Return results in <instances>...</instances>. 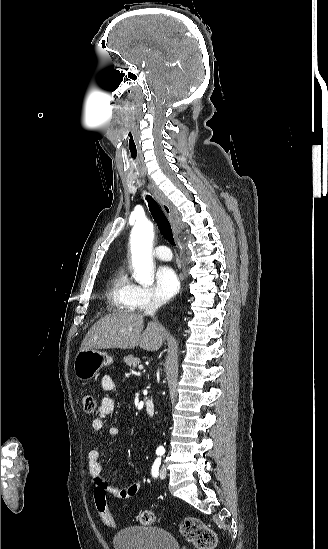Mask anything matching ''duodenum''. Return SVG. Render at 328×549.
Listing matches in <instances>:
<instances>
[{"instance_id": "410a0bca", "label": "duodenum", "mask_w": 328, "mask_h": 549, "mask_svg": "<svg viewBox=\"0 0 328 549\" xmlns=\"http://www.w3.org/2000/svg\"><path fill=\"white\" fill-rule=\"evenodd\" d=\"M145 410L148 415L152 416L155 413V403L151 399H147L145 402Z\"/></svg>"}]
</instances>
